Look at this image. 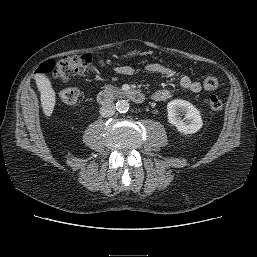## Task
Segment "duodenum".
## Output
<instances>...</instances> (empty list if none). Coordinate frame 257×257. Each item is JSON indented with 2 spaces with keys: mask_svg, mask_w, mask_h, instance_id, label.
<instances>
[{
  "mask_svg": "<svg viewBox=\"0 0 257 257\" xmlns=\"http://www.w3.org/2000/svg\"><path fill=\"white\" fill-rule=\"evenodd\" d=\"M116 96L127 98L137 104H140L144 101L143 93L136 89H126L122 91L104 90L98 93L97 101L101 105H107Z\"/></svg>",
  "mask_w": 257,
  "mask_h": 257,
  "instance_id": "duodenum-1",
  "label": "duodenum"
}]
</instances>
